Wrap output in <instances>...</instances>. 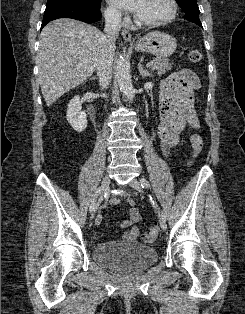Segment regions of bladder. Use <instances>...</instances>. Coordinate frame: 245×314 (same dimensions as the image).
<instances>
[{
	"mask_svg": "<svg viewBox=\"0 0 245 314\" xmlns=\"http://www.w3.org/2000/svg\"><path fill=\"white\" fill-rule=\"evenodd\" d=\"M95 262L121 276L144 272L158 259L154 247L140 242L103 243L93 248Z\"/></svg>",
	"mask_w": 245,
	"mask_h": 314,
	"instance_id": "1",
	"label": "bladder"
}]
</instances>
